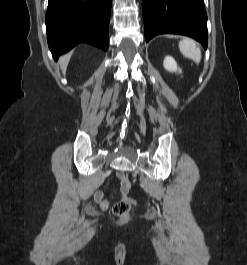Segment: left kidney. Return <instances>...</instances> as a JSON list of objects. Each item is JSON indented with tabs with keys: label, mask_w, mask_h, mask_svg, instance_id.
<instances>
[{
	"label": "left kidney",
	"mask_w": 247,
	"mask_h": 265,
	"mask_svg": "<svg viewBox=\"0 0 247 265\" xmlns=\"http://www.w3.org/2000/svg\"><path fill=\"white\" fill-rule=\"evenodd\" d=\"M163 65L170 72H176L178 70L181 73V69L178 68L176 61L171 56L165 57Z\"/></svg>",
	"instance_id": "obj_1"
}]
</instances>
